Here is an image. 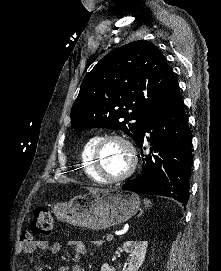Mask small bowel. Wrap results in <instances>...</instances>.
Wrapping results in <instances>:
<instances>
[{"label":"small bowel","mask_w":221,"mask_h":271,"mask_svg":"<svg viewBox=\"0 0 221 271\" xmlns=\"http://www.w3.org/2000/svg\"><path fill=\"white\" fill-rule=\"evenodd\" d=\"M69 245L79 254H86L87 247L81 240H72ZM35 250H42L50 253H58L61 250V244L58 242H50L45 239H27L22 240L18 245V251L23 253H32ZM59 271H84L80 265H64Z\"/></svg>","instance_id":"small-bowel-1"}]
</instances>
